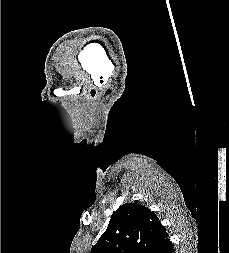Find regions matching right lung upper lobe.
Masks as SVG:
<instances>
[{"label":"right lung upper lobe","mask_w":229,"mask_h":253,"mask_svg":"<svg viewBox=\"0 0 229 253\" xmlns=\"http://www.w3.org/2000/svg\"><path fill=\"white\" fill-rule=\"evenodd\" d=\"M170 243L155 213L138 203L120 206L91 253H159Z\"/></svg>","instance_id":"obj_1"}]
</instances>
